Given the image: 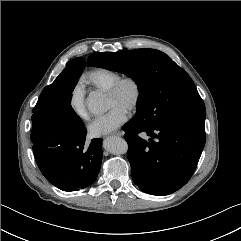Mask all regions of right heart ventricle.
<instances>
[{"label":"right heart ventricle","instance_id":"1","mask_svg":"<svg viewBox=\"0 0 241 241\" xmlns=\"http://www.w3.org/2000/svg\"><path fill=\"white\" fill-rule=\"evenodd\" d=\"M119 77L121 74L118 71L105 67L93 68L84 75L89 85L101 91H107Z\"/></svg>","mask_w":241,"mask_h":241}]
</instances>
